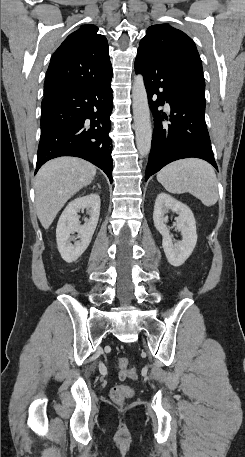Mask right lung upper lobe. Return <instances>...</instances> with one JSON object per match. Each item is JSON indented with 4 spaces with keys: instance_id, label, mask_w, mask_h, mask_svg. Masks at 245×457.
Segmentation results:
<instances>
[{
    "instance_id": "obj_1",
    "label": "right lung upper lobe",
    "mask_w": 245,
    "mask_h": 457,
    "mask_svg": "<svg viewBox=\"0 0 245 457\" xmlns=\"http://www.w3.org/2000/svg\"><path fill=\"white\" fill-rule=\"evenodd\" d=\"M95 25L70 34L53 54L44 83V96L71 85L113 74L105 36Z\"/></svg>"
}]
</instances>
